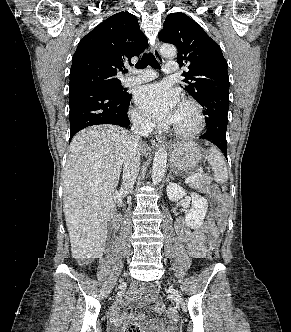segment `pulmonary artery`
<instances>
[{
    "mask_svg": "<svg viewBox=\"0 0 291 332\" xmlns=\"http://www.w3.org/2000/svg\"><path fill=\"white\" fill-rule=\"evenodd\" d=\"M178 70V64L175 61H168L163 68V71L167 74L175 73ZM157 77L156 72L152 70H143L137 75L128 76L123 80L125 86H131L144 82L151 81Z\"/></svg>",
    "mask_w": 291,
    "mask_h": 332,
    "instance_id": "e3ab8cb5",
    "label": "pulmonary artery"
}]
</instances>
